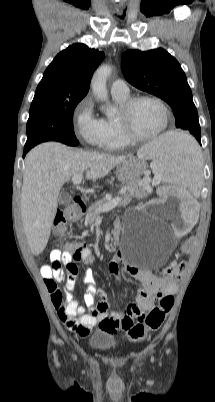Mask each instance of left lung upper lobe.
Returning <instances> with one entry per match:
<instances>
[{"mask_svg":"<svg viewBox=\"0 0 215 402\" xmlns=\"http://www.w3.org/2000/svg\"><path fill=\"white\" fill-rule=\"evenodd\" d=\"M125 79L136 88L166 101L174 111L176 127L201 139L197 109L184 71L164 49L128 50L122 55Z\"/></svg>","mask_w":215,"mask_h":402,"instance_id":"5c2ea615","label":"left lung upper lobe"}]
</instances>
